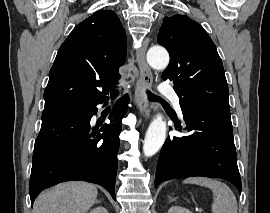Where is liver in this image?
<instances>
[{
  "mask_svg": "<svg viewBox=\"0 0 270 213\" xmlns=\"http://www.w3.org/2000/svg\"><path fill=\"white\" fill-rule=\"evenodd\" d=\"M98 191L86 182H66L41 193L33 213H86L96 202Z\"/></svg>",
  "mask_w": 270,
  "mask_h": 213,
  "instance_id": "6515ba94",
  "label": "liver"
}]
</instances>
